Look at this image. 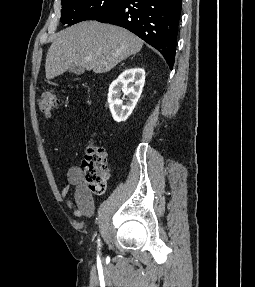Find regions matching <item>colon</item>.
<instances>
[{
    "label": "colon",
    "instance_id": "obj_1",
    "mask_svg": "<svg viewBox=\"0 0 255 287\" xmlns=\"http://www.w3.org/2000/svg\"><path fill=\"white\" fill-rule=\"evenodd\" d=\"M60 102L59 95L54 90L45 91L38 99L39 110L45 116H51L52 111ZM84 181L93 193H103L108 180V167L105 149L95 144H89L83 159Z\"/></svg>",
    "mask_w": 255,
    "mask_h": 287
}]
</instances>
